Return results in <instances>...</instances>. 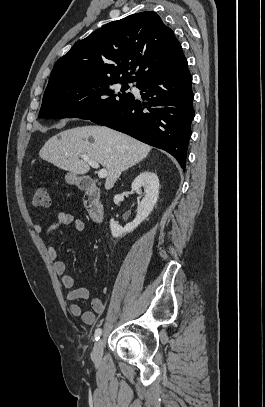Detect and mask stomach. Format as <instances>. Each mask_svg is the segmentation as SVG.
Here are the masks:
<instances>
[{"mask_svg": "<svg viewBox=\"0 0 265 407\" xmlns=\"http://www.w3.org/2000/svg\"><path fill=\"white\" fill-rule=\"evenodd\" d=\"M65 180L69 184H79L81 182L82 178L77 176L76 174L70 172V173L66 174Z\"/></svg>", "mask_w": 265, "mask_h": 407, "instance_id": "0dacf381", "label": "stomach"}]
</instances>
